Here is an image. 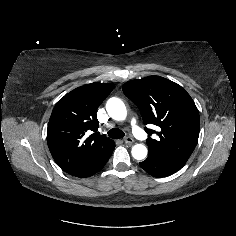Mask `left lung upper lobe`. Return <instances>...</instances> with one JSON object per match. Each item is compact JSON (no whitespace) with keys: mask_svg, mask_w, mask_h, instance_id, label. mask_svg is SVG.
<instances>
[{"mask_svg":"<svg viewBox=\"0 0 236 236\" xmlns=\"http://www.w3.org/2000/svg\"><path fill=\"white\" fill-rule=\"evenodd\" d=\"M124 94L140 109L145 124L149 155L188 159L196 147L200 118L190 95L178 84L160 76L132 80L122 87ZM156 133L157 139L150 136Z\"/></svg>","mask_w":236,"mask_h":236,"instance_id":"obj_1","label":"left lung upper lobe"}]
</instances>
